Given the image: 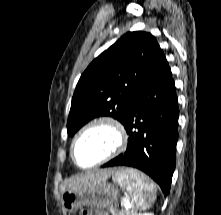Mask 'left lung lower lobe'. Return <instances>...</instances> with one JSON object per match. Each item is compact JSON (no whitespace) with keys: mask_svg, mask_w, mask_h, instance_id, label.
<instances>
[{"mask_svg":"<svg viewBox=\"0 0 221 215\" xmlns=\"http://www.w3.org/2000/svg\"><path fill=\"white\" fill-rule=\"evenodd\" d=\"M179 108L174 80L163 51L124 112L129 138L124 154L102 167L130 166L149 175L165 196L176 164Z\"/></svg>","mask_w":221,"mask_h":215,"instance_id":"left-lung-lower-lobe-1","label":"left lung lower lobe"}]
</instances>
